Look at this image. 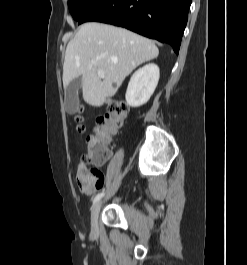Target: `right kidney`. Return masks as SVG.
Returning <instances> with one entry per match:
<instances>
[{
    "label": "right kidney",
    "mask_w": 247,
    "mask_h": 265,
    "mask_svg": "<svg viewBox=\"0 0 247 265\" xmlns=\"http://www.w3.org/2000/svg\"><path fill=\"white\" fill-rule=\"evenodd\" d=\"M159 81V67L149 63L138 69L131 77L127 91L126 102L131 107L144 105L152 96Z\"/></svg>",
    "instance_id": "right-kidney-1"
}]
</instances>
